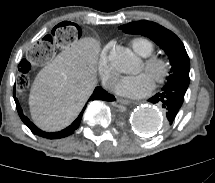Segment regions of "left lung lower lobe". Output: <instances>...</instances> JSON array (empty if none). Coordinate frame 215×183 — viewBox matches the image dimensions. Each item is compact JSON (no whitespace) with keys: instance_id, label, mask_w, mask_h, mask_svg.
Wrapping results in <instances>:
<instances>
[{"instance_id":"1","label":"left lung lower lobe","mask_w":215,"mask_h":183,"mask_svg":"<svg viewBox=\"0 0 215 183\" xmlns=\"http://www.w3.org/2000/svg\"><path fill=\"white\" fill-rule=\"evenodd\" d=\"M188 86L179 82L166 83L162 89L149 99V102L158 104L166 111V117L170 124L173 123L179 112Z\"/></svg>"}]
</instances>
